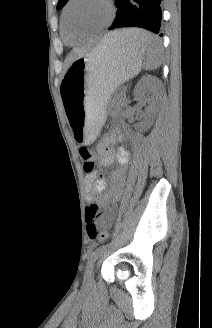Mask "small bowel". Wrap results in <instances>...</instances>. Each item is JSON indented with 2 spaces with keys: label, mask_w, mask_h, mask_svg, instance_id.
Returning a JSON list of instances; mask_svg holds the SVG:
<instances>
[{
  "label": "small bowel",
  "mask_w": 212,
  "mask_h": 328,
  "mask_svg": "<svg viewBox=\"0 0 212 328\" xmlns=\"http://www.w3.org/2000/svg\"><path fill=\"white\" fill-rule=\"evenodd\" d=\"M115 135H110L100 148L101 164L110 166L117 163L119 170L111 175L112 191L109 195L103 198H97L106 188V182L103 179L97 178L95 171L86 172L85 181L89 187V201H97L100 205L106 206V210L101 218V225L108 228L112 225L116 215V203L119 201L122 192V186L125 180V168L129 161V154L123 147L116 151L111 147Z\"/></svg>",
  "instance_id": "obj_1"
}]
</instances>
